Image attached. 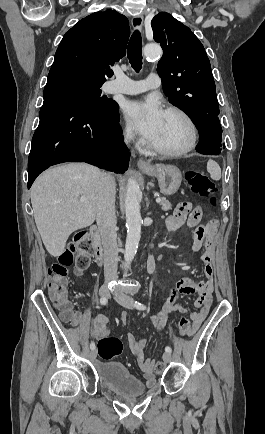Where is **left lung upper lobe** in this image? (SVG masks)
<instances>
[{"label":"left lung upper lobe","instance_id":"left-lung-upper-lobe-1","mask_svg":"<svg viewBox=\"0 0 265 434\" xmlns=\"http://www.w3.org/2000/svg\"><path fill=\"white\" fill-rule=\"evenodd\" d=\"M151 26L163 49L157 72L165 95L191 118L200 138L223 146L215 82L203 45L167 12L156 15Z\"/></svg>","mask_w":265,"mask_h":434}]
</instances>
